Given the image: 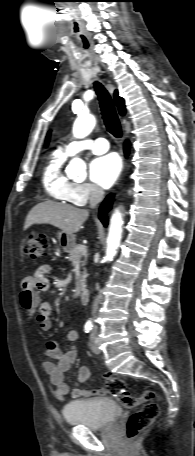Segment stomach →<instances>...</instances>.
Here are the masks:
<instances>
[{"label": "stomach", "mask_w": 195, "mask_h": 456, "mask_svg": "<svg viewBox=\"0 0 195 456\" xmlns=\"http://www.w3.org/2000/svg\"><path fill=\"white\" fill-rule=\"evenodd\" d=\"M58 240L60 246L66 251H69L75 246V236L73 234H67L61 231L58 233Z\"/></svg>", "instance_id": "0dacf381"}]
</instances>
